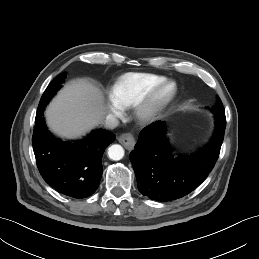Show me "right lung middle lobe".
Instances as JSON below:
<instances>
[{
	"mask_svg": "<svg viewBox=\"0 0 259 259\" xmlns=\"http://www.w3.org/2000/svg\"><path fill=\"white\" fill-rule=\"evenodd\" d=\"M65 77H66L65 73L60 74L49 84V86L44 91L41 97V100L39 102L36 117L43 115L46 105L51 100V98L56 94L57 90L61 87V84L63 83Z\"/></svg>",
	"mask_w": 259,
	"mask_h": 259,
	"instance_id": "1",
	"label": "right lung middle lobe"
}]
</instances>
